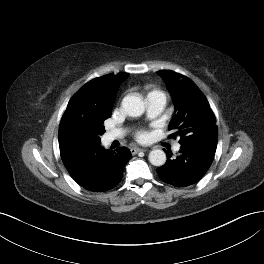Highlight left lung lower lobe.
Segmentation results:
<instances>
[{
    "mask_svg": "<svg viewBox=\"0 0 264 264\" xmlns=\"http://www.w3.org/2000/svg\"><path fill=\"white\" fill-rule=\"evenodd\" d=\"M216 149L206 146H181L179 155L172 158L166 151L165 165L157 169L160 178L175 187H187L197 183L209 169Z\"/></svg>",
    "mask_w": 264,
    "mask_h": 264,
    "instance_id": "0a47b994",
    "label": "left lung lower lobe"
}]
</instances>
